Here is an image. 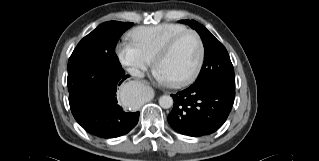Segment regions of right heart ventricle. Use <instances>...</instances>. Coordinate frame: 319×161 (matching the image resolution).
<instances>
[{
	"instance_id": "e07e8e85",
	"label": "right heart ventricle",
	"mask_w": 319,
	"mask_h": 161,
	"mask_svg": "<svg viewBox=\"0 0 319 161\" xmlns=\"http://www.w3.org/2000/svg\"><path fill=\"white\" fill-rule=\"evenodd\" d=\"M185 30L187 28L180 24L163 23L155 26L136 28L131 32L130 38L140 52L152 61L170 38Z\"/></svg>"
}]
</instances>
